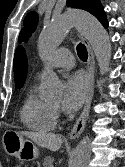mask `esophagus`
Here are the masks:
<instances>
[{"label": "esophagus", "mask_w": 125, "mask_h": 167, "mask_svg": "<svg viewBox=\"0 0 125 167\" xmlns=\"http://www.w3.org/2000/svg\"><path fill=\"white\" fill-rule=\"evenodd\" d=\"M81 38L88 51L87 71L89 76V88L87 91L86 101L83 110L69 133L70 139L78 138L80 134L83 132L89 116L90 106L94 94V71H95L94 53L88 40L83 36Z\"/></svg>", "instance_id": "1"}]
</instances>
